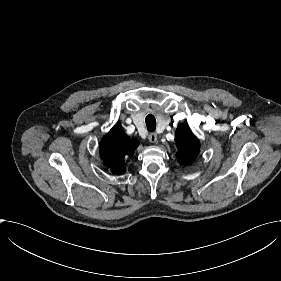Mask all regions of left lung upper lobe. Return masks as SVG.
Segmentation results:
<instances>
[{
  "label": "left lung upper lobe",
  "instance_id": "obj_1",
  "mask_svg": "<svg viewBox=\"0 0 281 281\" xmlns=\"http://www.w3.org/2000/svg\"><path fill=\"white\" fill-rule=\"evenodd\" d=\"M177 146L176 158L182 165H190L198 156L200 143L191 130L185 125H179L175 133Z\"/></svg>",
  "mask_w": 281,
  "mask_h": 281
}]
</instances>
